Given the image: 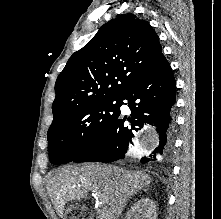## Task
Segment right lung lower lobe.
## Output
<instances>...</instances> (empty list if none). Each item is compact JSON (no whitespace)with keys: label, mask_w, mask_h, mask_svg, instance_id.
<instances>
[{"label":"right lung lower lobe","mask_w":221,"mask_h":219,"mask_svg":"<svg viewBox=\"0 0 221 219\" xmlns=\"http://www.w3.org/2000/svg\"><path fill=\"white\" fill-rule=\"evenodd\" d=\"M175 91L172 69L166 58L161 56L120 98L121 104L123 100L127 101L133 122L119 114L102 138L73 162H114L123 159L139 131L144 135V141L150 144L141 162L166 161L173 148ZM126 120L131 122V126L124 124Z\"/></svg>","instance_id":"98d812e1"}]
</instances>
